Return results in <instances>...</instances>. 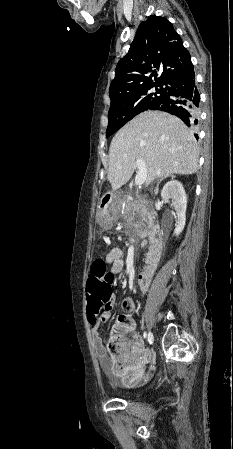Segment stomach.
<instances>
[{
    "instance_id": "1",
    "label": "stomach",
    "mask_w": 233,
    "mask_h": 449,
    "mask_svg": "<svg viewBox=\"0 0 233 449\" xmlns=\"http://www.w3.org/2000/svg\"><path fill=\"white\" fill-rule=\"evenodd\" d=\"M121 213V202L117 196L114 198V204L109 207L107 210H103L100 208L98 212V221L102 225H111L114 221H116L120 217Z\"/></svg>"
}]
</instances>
